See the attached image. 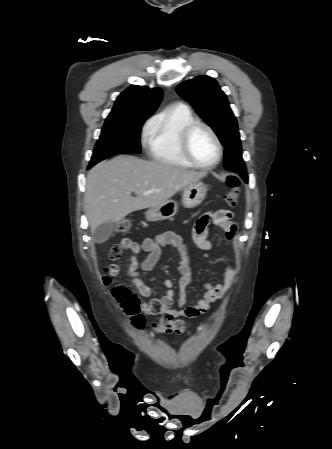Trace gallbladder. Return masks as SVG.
<instances>
[{
	"mask_svg": "<svg viewBox=\"0 0 332 449\" xmlns=\"http://www.w3.org/2000/svg\"><path fill=\"white\" fill-rule=\"evenodd\" d=\"M114 230L113 223H103L98 226L93 232V239L97 243L105 242L110 238Z\"/></svg>",
	"mask_w": 332,
	"mask_h": 449,
	"instance_id": "gallbladder-1",
	"label": "gallbladder"
}]
</instances>
